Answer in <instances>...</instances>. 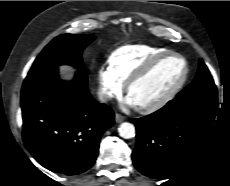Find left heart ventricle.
<instances>
[{
	"instance_id": "obj_1",
	"label": "left heart ventricle",
	"mask_w": 230,
	"mask_h": 186,
	"mask_svg": "<svg viewBox=\"0 0 230 186\" xmlns=\"http://www.w3.org/2000/svg\"><path fill=\"white\" fill-rule=\"evenodd\" d=\"M184 64L177 57L160 61L145 77L134 83L128 96L136 106L148 105L160 99L182 76Z\"/></svg>"
}]
</instances>
